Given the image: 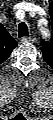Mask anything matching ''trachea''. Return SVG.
Here are the masks:
<instances>
[{"label":"trachea","instance_id":"obj_1","mask_svg":"<svg viewBox=\"0 0 53 120\" xmlns=\"http://www.w3.org/2000/svg\"><path fill=\"white\" fill-rule=\"evenodd\" d=\"M29 35L28 27L24 22L18 25V37H26Z\"/></svg>","mask_w":53,"mask_h":120}]
</instances>
